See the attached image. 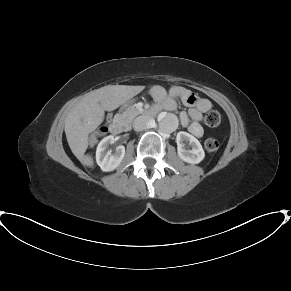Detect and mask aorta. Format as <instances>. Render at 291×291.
<instances>
[{
	"label": "aorta",
	"mask_w": 291,
	"mask_h": 291,
	"mask_svg": "<svg viewBox=\"0 0 291 291\" xmlns=\"http://www.w3.org/2000/svg\"><path fill=\"white\" fill-rule=\"evenodd\" d=\"M178 127V119L173 114H164L159 117V128L164 133H172Z\"/></svg>",
	"instance_id": "obj_1"
}]
</instances>
